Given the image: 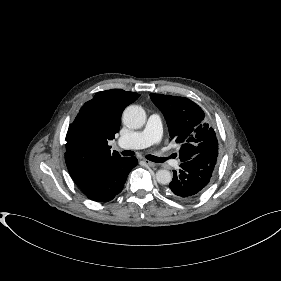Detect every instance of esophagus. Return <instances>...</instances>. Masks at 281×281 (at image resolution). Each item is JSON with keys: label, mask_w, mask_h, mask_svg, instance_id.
I'll return each mask as SVG.
<instances>
[{"label": "esophagus", "mask_w": 281, "mask_h": 281, "mask_svg": "<svg viewBox=\"0 0 281 281\" xmlns=\"http://www.w3.org/2000/svg\"><path fill=\"white\" fill-rule=\"evenodd\" d=\"M144 163L147 165V166H150V167H155L156 164L154 162H151L149 160H144Z\"/></svg>", "instance_id": "esophagus-1"}]
</instances>
